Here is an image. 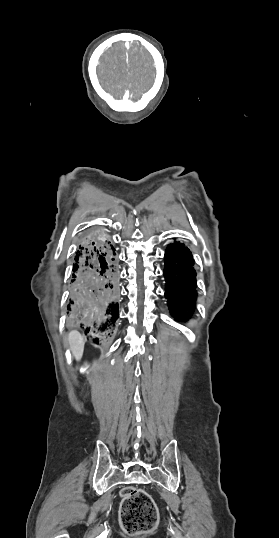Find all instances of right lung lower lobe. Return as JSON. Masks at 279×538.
I'll use <instances>...</instances> for the list:
<instances>
[{"instance_id": "right-lung-lower-lobe-1", "label": "right lung lower lobe", "mask_w": 279, "mask_h": 538, "mask_svg": "<svg viewBox=\"0 0 279 538\" xmlns=\"http://www.w3.org/2000/svg\"><path fill=\"white\" fill-rule=\"evenodd\" d=\"M110 236L95 230L76 251L67 306V324L85 334L111 329L119 316L120 280L117 253Z\"/></svg>"}]
</instances>
